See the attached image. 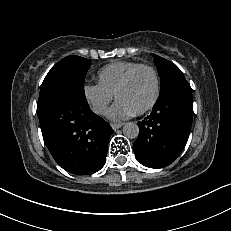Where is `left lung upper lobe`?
I'll use <instances>...</instances> for the list:
<instances>
[{"mask_svg": "<svg viewBox=\"0 0 231 231\" xmlns=\"http://www.w3.org/2000/svg\"><path fill=\"white\" fill-rule=\"evenodd\" d=\"M151 55L154 57V63L157 66V70L161 78L160 91L164 90L176 81L185 80L183 73L174 63L155 54Z\"/></svg>", "mask_w": 231, "mask_h": 231, "instance_id": "left-lung-upper-lobe-1", "label": "left lung upper lobe"}]
</instances>
